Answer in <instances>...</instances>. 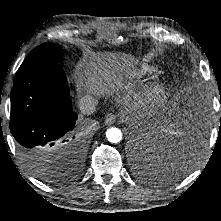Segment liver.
<instances>
[{"label": "liver", "instance_id": "liver-1", "mask_svg": "<svg viewBox=\"0 0 221 221\" xmlns=\"http://www.w3.org/2000/svg\"><path fill=\"white\" fill-rule=\"evenodd\" d=\"M133 73V58L120 53H90L77 65L76 84L79 91L90 95L111 96L125 85V78ZM54 158L46 156L40 166H49Z\"/></svg>", "mask_w": 221, "mask_h": 221}]
</instances>
